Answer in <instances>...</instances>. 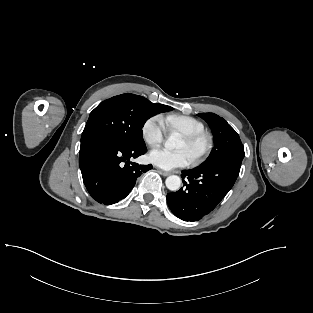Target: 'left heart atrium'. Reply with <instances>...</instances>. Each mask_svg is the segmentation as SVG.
<instances>
[{"mask_svg":"<svg viewBox=\"0 0 313 313\" xmlns=\"http://www.w3.org/2000/svg\"><path fill=\"white\" fill-rule=\"evenodd\" d=\"M149 160L154 165L166 170L185 167L191 163V158L186 151H170L163 148L152 150L149 154Z\"/></svg>","mask_w":313,"mask_h":313,"instance_id":"1","label":"left heart atrium"}]
</instances>
